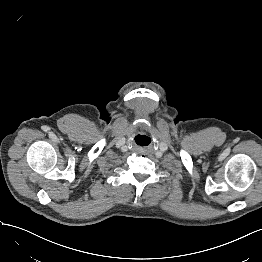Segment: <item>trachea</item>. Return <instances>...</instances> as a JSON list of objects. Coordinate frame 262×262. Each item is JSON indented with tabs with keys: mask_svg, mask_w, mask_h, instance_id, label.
I'll return each mask as SVG.
<instances>
[{
	"mask_svg": "<svg viewBox=\"0 0 262 262\" xmlns=\"http://www.w3.org/2000/svg\"><path fill=\"white\" fill-rule=\"evenodd\" d=\"M148 139L149 138L145 135H139L136 138V142H137L138 145L143 146V145H147Z\"/></svg>",
	"mask_w": 262,
	"mask_h": 262,
	"instance_id": "3493384b",
	"label": "trachea"
}]
</instances>
